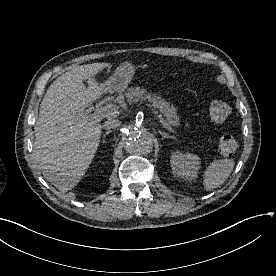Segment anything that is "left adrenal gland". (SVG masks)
<instances>
[{"label": "left adrenal gland", "mask_w": 276, "mask_h": 276, "mask_svg": "<svg viewBox=\"0 0 276 276\" xmlns=\"http://www.w3.org/2000/svg\"><path fill=\"white\" fill-rule=\"evenodd\" d=\"M159 133L161 134V136H162L163 139H165V138L175 139L174 136H172L169 133H166L164 131L159 130Z\"/></svg>", "instance_id": "a2214340"}]
</instances>
